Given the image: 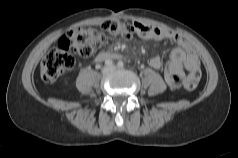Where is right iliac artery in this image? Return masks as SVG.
Here are the masks:
<instances>
[{
    "instance_id": "1",
    "label": "right iliac artery",
    "mask_w": 238,
    "mask_h": 158,
    "mask_svg": "<svg viewBox=\"0 0 238 158\" xmlns=\"http://www.w3.org/2000/svg\"><path fill=\"white\" fill-rule=\"evenodd\" d=\"M105 64H106L107 66H112V65H113V61L110 60V59H107V60L105 61Z\"/></svg>"
}]
</instances>
